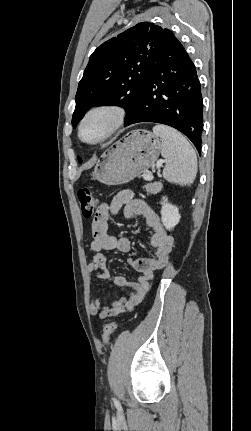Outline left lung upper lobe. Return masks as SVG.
<instances>
[{
	"label": "left lung upper lobe",
	"instance_id": "left-lung-upper-lobe-1",
	"mask_svg": "<svg viewBox=\"0 0 251 431\" xmlns=\"http://www.w3.org/2000/svg\"><path fill=\"white\" fill-rule=\"evenodd\" d=\"M172 35L168 29L142 22L100 45L79 82L72 125L75 127L91 107L103 104L123 107L127 120L142 94L157 50ZM78 160L82 162L80 157Z\"/></svg>",
	"mask_w": 251,
	"mask_h": 431
}]
</instances>
